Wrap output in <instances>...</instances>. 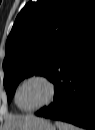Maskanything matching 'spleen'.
<instances>
[{"instance_id":"1","label":"spleen","mask_w":95,"mask_h":130,"mask_svg":"<svg viewBox=\"0 0 95 130\" xmlns=\"http://www.w3.org/2000/svg\"><path fill=\"white\" fill-rule=\"evenodd\" d=\"M55 126L58 128V130H79L78 127L62 121H56Z\"/></svg>"}]
</instances>
